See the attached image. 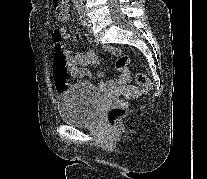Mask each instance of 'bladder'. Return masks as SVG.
Here are the masks:
<instances>
[{"label":"bladder","instance_id":"31cf9c89","mask_svg":"<svg viewBox=\"0 0 207 179\" xmlns=\"http://www.w3.org/2000/svg\"><path fill=\"white\" fill-rule=\"evenodd\" d=\"M60 118L68 125H92L101 109V95L89 83H75L64 88L57 96Z\"/></svg>","mask_w":207,"mask_h":179}]
</instances>
